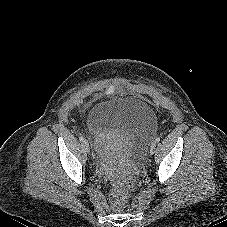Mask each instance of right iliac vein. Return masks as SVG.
Here are the masks:
<instances>
[{"label": "right iliac vein", "instance_id": "1", "mask_svg": "<svg viewBox=\"0 0 227 227\" xmlns=\"http://www.w3.org/2000/svg\"><path fill=\"white\" fill-rule=\"evenodd\" d=\"M82 146H83V148L85 149V151H86L87 153L90 152V148H89V144H88V141H87V140H84V141H83Z\"/></svg>", "mask_w": 227, "mask_h": 227}]
</instances>
